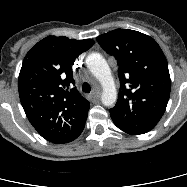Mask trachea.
I'll return each instance as SVG.
<instances>
[{"label":"trachea","instance_id":"1","mask_svg":"<svg viewBox=\"0 0 187 187\" xmlns=\"http://www.w3.org/2000/svg\"><path fill=\"white\" fill-rule=\"evenodd\" d=\"M82 91H84V92H86V93H89V92L91 91V87H90V85H89L87 82H85V83L83 84V86H82Z\"/></svg>","mask_w":187,"mask_h":187}]
</instances>
